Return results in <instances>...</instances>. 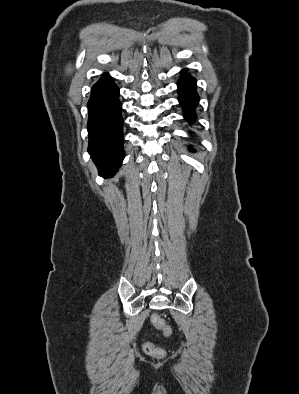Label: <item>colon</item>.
<instances>
[{"label":"colon","instance_id":"colon-1","mask_svg":"<svg viewBox=\"0 0 299 394\" xmlns=\"http://www.w3.org/2000/svg\"><path fill=\"white\" fill-rule=\"evenodd\" d=\"M152 322L156 327L162 330L165 336H170L171 328L165 324L163 318L160 315L154 314L152 316ZM143 349L147 355L156 359L163 358L165 355V351L162 348L156 346L153 342H146L143 346Z\"/></svg>","mask_w":299,"mask_h":394}]
</instances>
